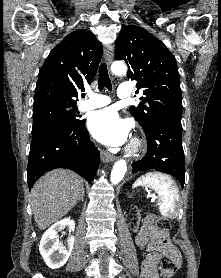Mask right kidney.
I'll list each match as a JSON object with an SVG mask.
<instances>
[{
    "label": "right kidney",
    "mask_w": 221,
    "mask_h": 278,
    "mask_svg": "<svg viewBox=\"0 0 221 278\" xmlns=\"http://www.w3.org/2000/svg\"><path fill=\"white\" fill-rule=\"evenodd\" d=\"M67 225L70 230H75V222L70 219H63L52 225L42 236L39 251L46 265L51 269L62 267L69 259L74 237L70 236L65 245L59 243L58 232Z\"/></svg>",
    "instance_id": "ca27d5eb"
}]
</instances>
